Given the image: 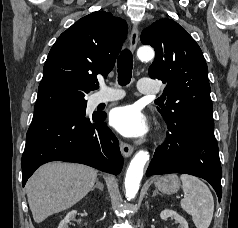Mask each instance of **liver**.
<instances>
[{
  "mask_svg": "<svg viewBox=\"0 0 238 228\" xmlns=\"http://www.w3.org/2000/svg\"><path fill=\"white\" fill-rule=\"evenodd\" d=\"M97 170L85 165L52 162L41 166L28 180L26 194L33 219L69 209L94 187Z\"/></svg>",
  "mask_w": 238,
  "mask_h": 228,
  "instance_id": "6515ba94",
  "label": "liver"
}]
</instances>
